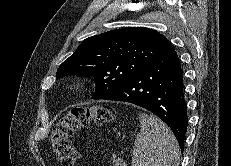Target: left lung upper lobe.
Wrapping results in <instances>:
<instances>
[{
    "label": "left lung upper lobe",
    "instance_id": "left-lung-upper-lobe-1",
    "mask_svg": "<svg viewBox=\"0 0 231 166\" xmlns=\"http://www.w3.org/2000/svg\"><path fill=\"white\" fill-rule=\"evenodd\" d=\"M169 45L166 37L145 27L108 31L85 39L58 68L57 79L94 76L101 99L156 59Z\"/></svg>",
    "mask_w": 231,
    "mask_h": 166
}]
</instances>
